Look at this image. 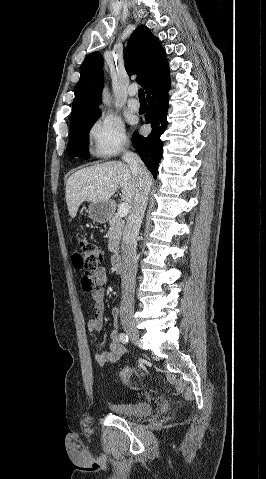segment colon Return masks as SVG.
Wrapping results in <instances>:
<instances>
[{
    "instance_id": "1",
    "label": "colon",
    "mask_w": 266,
    "mask_h": 479,
    "mask_svg": "<svg viewBox=\"0 0 266 479\" xmlns=\"http://www.w3.org/2000/svg\"><path fill=\"white\" fill-rule=\"evenodd\" d=\"M103 258L102 248L86 239L84 236H79L78 245L72 256V262L75 269L82 273L81 284L85 291L93 289L94 284L90 278V273L93 272ZM135 373L133 368H124L120 377L122 382L129 386V379Z\"/></svg>"
}]
</instances>
